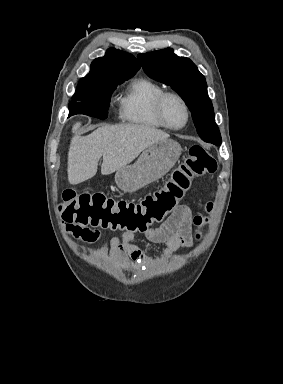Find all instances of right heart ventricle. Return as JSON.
<instances>
[{
	"label": "right heart ventricle",
	"mask_w": 283,
	"mask_h": 384,
	"mask_svg": "<svg viewBox=\"0 0 283 384\" xmlns=\"http://www.w3.org/2000/svg\"><path fill=\"white\" fill-rule=\"evenodd\" d=\"M164 92L160 85L147 78H132L119 98V114L122 121L140 129H163L153 116V105Z\"/></svg>",
	"instance_id": "right-heart-ventricle-1"
}]
</instances>
